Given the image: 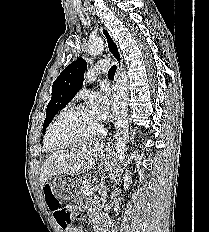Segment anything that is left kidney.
Instances as JSON below:
<instances>
[{
	"label": "left kidney",
	"instance_id": "5707ae66",
	"mask_svg": "<svg viewBox=\"0 0 209 232\" xmlns=\"http://www.w3.org/2000/svg\"><path fill=\"white\" fill-rule=\"evenodd\" d=\"M130 175H131V172H130ZM130 175H128V171H126V174L123 177L125 190L129 188V182L132 183Z\"/></svg>",
	"mask_w": 209,
	"mask_h": 232
}]
</instances>
